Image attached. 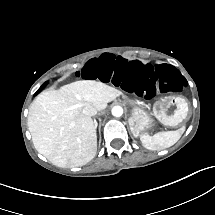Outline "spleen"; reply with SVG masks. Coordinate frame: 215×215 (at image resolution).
<instances>
[{
  "mask_svg": "<svg viewBox=\"0 0 215 215\" xmlns=\"http://www.w3.org/2000/svg\"><path fill=\"white\" fill-rule=\"evenodd\" d=\"M182 136L181 129L159 131L154 135L144 131L140 134L142 145L149 150H162L173 146Z\"/></svg>",
  "mask_w": 215,
  "mask_h": 215,
  "instance_id": "obj_1",
  "label": "spleen"
}]
</instances>
